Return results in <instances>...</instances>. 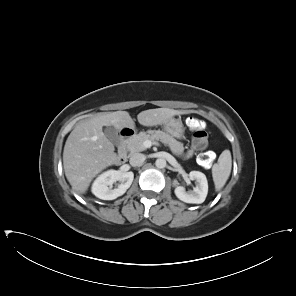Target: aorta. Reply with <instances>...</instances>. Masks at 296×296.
<instances>
[{
    "instance_id": "1",
    "label": "aorta",
    "mask_w": 296,
    "mask_h": 296,
    "mask_svg": "<svg viewBox=\"0 0 296 296\" xmlns=\"http://www.w3.org/2000/svg\"><path fill=\"white\" fill-rule=\"evenodd\" d=\"M155 166L159 169H162L166 166V161L164 159H157L155 162Z\"/></svg>"
}]
</instances>
